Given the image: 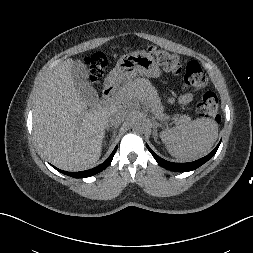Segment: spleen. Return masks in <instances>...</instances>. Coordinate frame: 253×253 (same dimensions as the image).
I'll list each match as a JSON object with an SVG mask.
<instances>
[{
	"mask_svg": "<svg viewBox=\"0 0 253 253\" xmlns=\"http://www.w3.org/2000/svg\"><path fill=\"white\" fill-rule=\"evenodd\" d=\"M168 152L188 162L206 155L218 138V124L209 118H197L160 133Z\"/></svg>",
	"mask_w": 253,
	"mask_h": 253,
	"instance_id": "3e777b00",
	"label": "spleen"
}]
</instances>
